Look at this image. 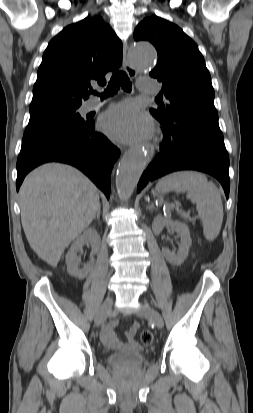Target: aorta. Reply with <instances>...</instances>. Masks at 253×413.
Masks as SVG:
<instances>
[{
	"label": "aorta",
	"instance_id": "obj_1",
	"mask_svg": "<svg viewBox=\"0 0 253 413\" xmlns=\"http://www.w3.org/2000/svg\"><path fill=\"white\" fill-rule=\"evenodd\" d=\"M129 56L133 66L144 71L154 66L157 54L149 42L137 41L130 46ZM147 161L144 147L129 150L121 159L116 176V188L123 200L129 199L132 195Z\"/></svg>",
	"mask_w": 253,
	"mask_h": 413
}]
</instances>
